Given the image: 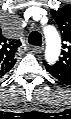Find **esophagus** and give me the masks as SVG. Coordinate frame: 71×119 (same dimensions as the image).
<instances>
[{
    "instance_id": "34e87169",
    "label": "esophagus",
    "mask_w": 71,
    "mask_h": 119,
    "mask_svg": "<svg viewBox=\"0 0 71 119\" xmlns=\"http://www.w3.org/2000/svg\"><path fill=\"white\" fill-rule=\"evenodd\" d=\"M44 49V46H33L31 48L33 53H41Z\"/></svg>"
}]
</instances>
